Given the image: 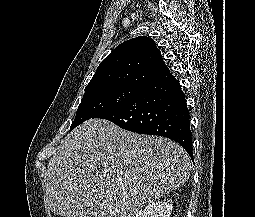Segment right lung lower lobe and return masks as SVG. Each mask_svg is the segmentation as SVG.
<instances>
[{
	"mask_svg": "<svg viewBox=\"0 0 255 217\" xmlns=\"http://www.w3.org/2000/svg\"><path fill=\"white\" fill-rule=\"evenodd\" d=\"M94 118L109 120L128 131L172 139L192 158V133L185 94L171 73L148 84L126 103Z\"/></svg>",
	"mask_w": 255,
	"mask_h": 217,
	"instance_id": "right-lung-lower-lobe-1",
	"label": "right lung lower lobe"
}]
</instances>
